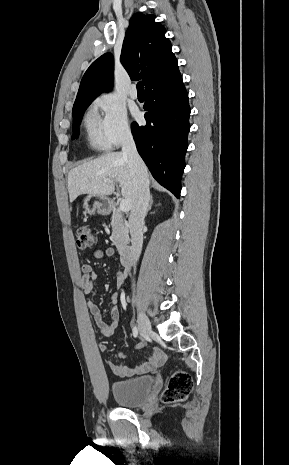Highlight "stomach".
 <instances>
[{
  "mask_svg": "<svg viewBox=\"0 0 289 465\" xmlns=\"http://www.w3.org/2000/svg\"><path fill=\"white\" fill-rule=\"evenodd\" d=\"M83 207L85 213L89 215H94L96 213L105 215L111 208V201L106 196L88 195L84 200Z\"/></svg>",
  "mask_w": 289,
  "mask_h": 465,
  "instance_id": "1",
  "label": "stomach"
}]
</instances>
